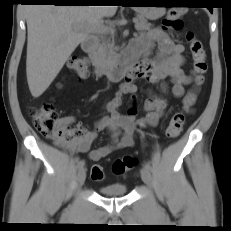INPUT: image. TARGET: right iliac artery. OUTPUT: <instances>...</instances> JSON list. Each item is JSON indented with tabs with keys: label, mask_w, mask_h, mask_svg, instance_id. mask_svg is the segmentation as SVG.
Returning <instances> with one entry per match:
<instances>
[{
	"label": "right iliac artery",
	"mask_w": 231,
	"mask_h": 231,
	"mask_svg": "<svg viewBox=\"0 0 231 231\" xmlns=\"http://www.w3.org/2000/svg\"><path fill=\"white\" fill-rule=\"evenodd\" d=\"M84 166V161H80L77 165L78 169H82Z\"/></svg>",
	"instance_id": "obj_1"
}]
</instances>
